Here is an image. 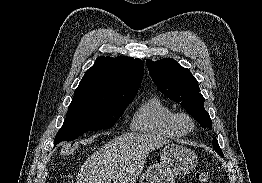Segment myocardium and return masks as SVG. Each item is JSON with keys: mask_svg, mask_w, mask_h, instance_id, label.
Returning a JSON list of instances; mask_svg holds the SVG:
<instances>
[{"mask_svg": "<svg viewBox=\"0 0 262 183\" xmlns=\"http://www.w3.org/2000/svg\"><path fill=\"white\" fill-rule=\"evenodd\" d=\"M174 120L177 128L183 133H190L195 129V120L188 113H176Z\"/></svg>", "mask_w": 262, "mask_h": 183, "instance_id": "f54148a6", "label": "myocardium"}]
</instances>
